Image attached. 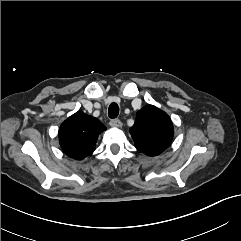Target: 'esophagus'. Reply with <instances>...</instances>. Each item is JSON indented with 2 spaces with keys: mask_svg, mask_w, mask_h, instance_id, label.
Listing matches in <instances>:
<instances>
[{
  "mask_svg": "<svg viewBox=\"0 0 241 241\" xmlns=\"http://www.w3.org/2000/svg\"><path fill=\"white\" fill-rule=\"evenodd\" d=\"M110 126L111 127H122V122L119 120V119H112L110 122H109Z\"/></svg>",
  "mask_w": 241,
  "mask_h": 241,
  "instance_id": "1",
  "label": "esophagus"
}]
</instances>
